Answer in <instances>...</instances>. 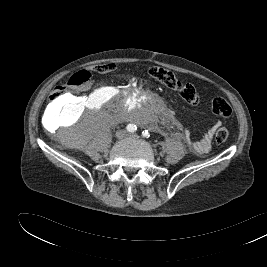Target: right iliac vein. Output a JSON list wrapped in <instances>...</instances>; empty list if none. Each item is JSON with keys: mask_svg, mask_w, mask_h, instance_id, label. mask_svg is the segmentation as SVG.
Returning a JSON list of instances; mask_svg holds the SVG:
<instances>
[{"mask_svg": "<svg viewBox=\"0 0 267 267\" xmlns=\"http://www.w3.org/2000/svg\"><path fill=\"white\" fill-rule=\"evenodd\" d=\"M116 136H117L118 138H123V137L125 136V132L120 131V132H118V133L116 134Z\"/></svg>", "mask_w": 267, "mask_h": 267, "instance_id": "obj_1", "label": "right iliac vein"}]
</instances>
